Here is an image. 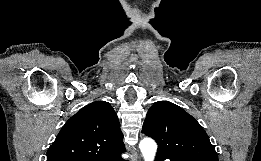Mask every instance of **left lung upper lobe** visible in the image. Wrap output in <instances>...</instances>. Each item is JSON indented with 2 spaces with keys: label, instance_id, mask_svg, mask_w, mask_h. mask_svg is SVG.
I'll return each instance as SVG.
<instances>
[{
  "label": "left lung upper lobe",
  "instance_id": "1",
  "mask_svg": "<svg viewBox=\"0 0 261 161\" xmlns=\"http://www.w3.org/2000/svg\"><path fill=\"white\" fill-rule=\"evenodd\" d=\"M142 133L157 142L159 153L188 161H218L201 125L171 102L158 101L150 107Z\"/></svg>",
  "mask_w": 261,
  "mask_h": 161
}]
</instances>
